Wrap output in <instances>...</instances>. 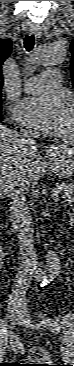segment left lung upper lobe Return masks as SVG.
Listing matches in <instances>:
<instances>
[{
    "mask_svg": "<svg viewBox=\"0 0 74 366\" xmlns=\"http://www.w3.org/2000/svg\"><path fill=\"white\" fill-rule=\"evenodd\" d=\"M70 48L72 52V60H71L72 85L74 87V40L72 41Z\"/></svg>",
    "mask_w": 74,
    "mask_h": 366,
    "instance_id": "5c2ea615",
    "label": "left lung upper lobe"
}]
</instances>
